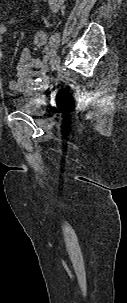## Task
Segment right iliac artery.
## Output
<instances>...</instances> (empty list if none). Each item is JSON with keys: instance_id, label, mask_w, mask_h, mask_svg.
Here are the masks:
<instances>
[{"instance_id": "obj_1", "label": "right iliac artery", "mask_w": 127, "mask_h": 303, "mask_svg": "<svg viewBox=\"0 0 127 303\" xmlns=\"http://www.w3.org/2000/svg\"><path fill=\"white\" fill-rule=\"evenodd\" d=\"M50 55H51L52 59L56 56V49L55 48H53V47L51 48Z\"/></svg>"}]
</instances>
